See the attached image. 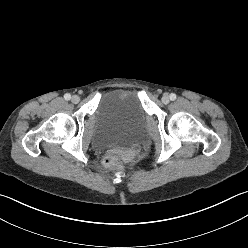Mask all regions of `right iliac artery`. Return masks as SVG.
I'll list each match as a JSON object with an SVG mask.
<instances>
[{
	"label": "right iliac artery",
	"mask_w": 248,
	"mask_h": 248,
	"mask_svg": "<svg viewBox=\"0 0 248 248\" xmlns=\"http://www.w3.org/2000/svg\"><path fill=\"white\" fill-rule=\"evenodd\" d=\"M65 100H70L71 99V95L69 93L64 95Z\"/></svg>",
	"instance_id": "1"
}]
</instances>
